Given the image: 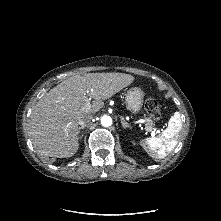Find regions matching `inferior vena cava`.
Instances as JSON below:
<instances>
[{
	"mask_svg": "<svg viewBox=\"0 0 221 221\" xmlns=\"http://www.w3.org/2000/svg\"><path fill=\"white\" fill-rule=\"evenodd\" d=\"M92 118H93L92 114H85L79 119L78 123L80 125H85L86 123L90 122Z\"/></svg>",
	"mask_w": 221,
	"mask_h": 221,
	"instance_id": "obj_1",
	"label": "inferior vena cava"
}]
</instances>
